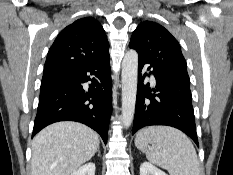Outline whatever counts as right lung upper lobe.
<instances>
[{
    "label": "right lung upper lobe",
    "instance_id": "1",
    "mask_svg": "<svg viewBox=\"0 0 233 175\" xmlns=\"http://www.w3.org/2000/svg\"><path fill=\"white\" fill-rule=\"evenodd\" d=\"M107 54L109 43L100 23L92 17L78 19L59 33L49 49L43 78L69 71Z\"/></svg>",
    "mask_w": 233,
    "mask_h": 175
}]
</instances>
